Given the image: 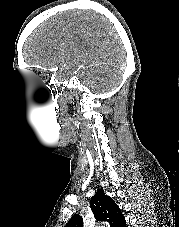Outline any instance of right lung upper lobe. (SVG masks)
Segmentation results:
<instances>
[{
    "label": "right lung upper lobe",
    "mask_w": 179,
    "mask_h": 227,
    "mask_svg": "<svg viewBox=\"0 0 179 227\" xmlns=\"http://www.w3.org/2000/svg\"><path fill=\"white\" fill-rule=\"evenodd\" d=\"M90 207L97 221L108 222L110 227H126V221L119 206L111 197L105 195L102 188L91 198ZM66 227H83L82 217L75 214Z\"/></svg>",
    "instance_id": "cb5924a9"
}]
</instances>
